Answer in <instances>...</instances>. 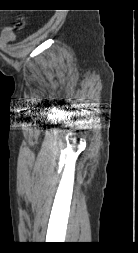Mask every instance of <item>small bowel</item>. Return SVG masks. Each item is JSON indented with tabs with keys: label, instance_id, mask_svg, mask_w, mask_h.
<instances>
[{
	"label": "small bowel",
	"instance_id": "obj_1",
	"mask_svg": "<svg viewBox=\"0 0 138 253\" xmlns=\"http://www.w3.org/2000/svg\"><path fill=\"white\" fill-rule=\"evenodd\" d=\"M15 38L14 33L11 29L5 28L2 30L0 35V40L2 43H9L13 41Z\"/></svg>",
	"mask_w": 138,
	"mask_h": 253
}]
</instances>
